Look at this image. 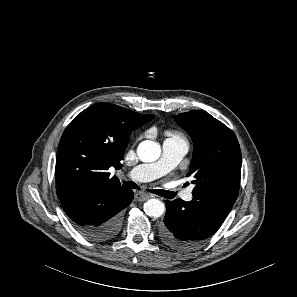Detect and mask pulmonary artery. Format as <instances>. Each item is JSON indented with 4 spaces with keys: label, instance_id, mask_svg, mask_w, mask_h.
<instances>
[{
    "label": "pulmonary artery",
    "instance_id": "pulmonary-artery-1",
    "mask_svg": "<svg viewBox=\"0 0 297 297\" xmlns=\"http://www.w3.org/2000/svg\"><path fill=\"white\" fill-rule=\"evenodd\" d=\"M189 144L185 139H166L162 145L159 160L149 164H140L132 168L128 175L137 181H151L174 169L188 152ZM186 201L192 199L191 190L182 193Z\"/></svg>",
    "mask_w": 297,
    "mask_h": 297
}]
</instances>
